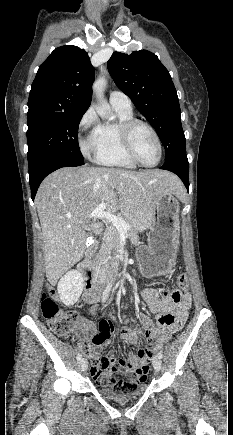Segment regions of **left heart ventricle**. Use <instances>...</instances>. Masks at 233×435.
<instances>
[{"instance_id":"obj_1","label":"left heart ventricle","mask_w":233,"mask_h":435,"mask_svg":"<svg viewBox=\"0 0 233 435\" xmlns=\"http://www.w3.org/2000/svg\"><path fill=\"white\" fill-rule=\"evenodd\" d=\"M132 141L136 153L145 164H154L159 157L156 142L150 131L144 126H137L132 134Z\"/></svg>"}]
</instances>
